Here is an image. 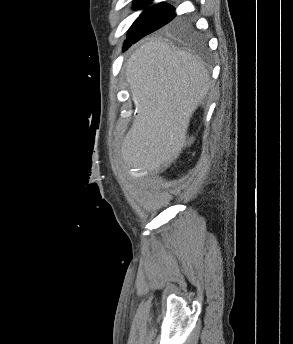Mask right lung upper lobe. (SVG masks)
Segmentation results:
<instances>
[{"label":"right lung upper lobe","mask_w":293,"mask_h":344,"mask_svg":"<svg viewBox=\"0 0 293 344\" xmlns=\"http://www.w3.org/2000/svg\"><path fill=\"white\" fill-rule=\"evenodd\" d=\"M151 0H136L135 4H144V3H150ZM161 4H165V5H169L167 3H161Z\"/></svg>","instance_id":"obj_1"}]
</instances>
